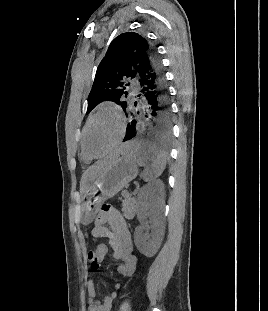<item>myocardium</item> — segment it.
<instances>
[{"mask_svg":"<svg viewBox=\"0 0 268 311\" xmlns=\"http://www.w3.org/2000/svg\"><path fill=\"white\" fill-rule=\"evenodd\" d=\"M104 113H110L113 116H115V118L118 121L119 131H118V135H117L116 139L114 140V142L111 144V146L105 152H103L102 154H99V155H94V154L90 153L86 147V134H87L88 128L91 125V123L93 122V120L96 119L101 114H104ZM125 131H126V122H125V117L121 113V111H119L117 108H114L111 106L101 107L98 110H96L93 114H91L88 117V119L86 120V123H85V125L83 127V131H82V138H81L82 148L88 157H90V158H102V157L108 155L110 152H112L121 143V141L125 135Z\"/></svg>","mask_w":268,"mask_h":311,"instance_id":"f54148a6","label":"myocardium"}]
</instances>
